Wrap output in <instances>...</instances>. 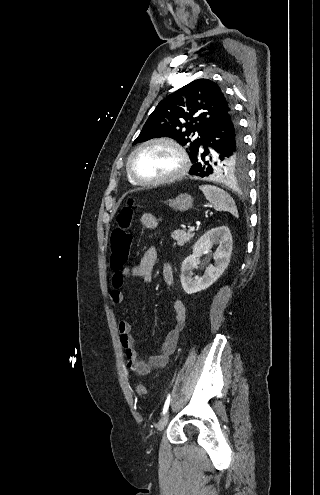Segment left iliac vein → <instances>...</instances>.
<instances>
[{
    "label": "left iliac vein",
    "mask_w": 320,
    "mask_h": 495,
    "mask_svg": "<svg viewBox=\"0 0 320 495\" xmlns=\"http://www.w3.org/2000/svg\"><path fill=\"white\" fill-rule=\"evenodd\" d=\"M168 419H169V413H168V412H166V413L162 416V418L160 419V421H159V424H158V430H159V431H162V430L166 427V425H167V423H168Z\"/></svg>",
    "instance_id": "1"
}]
</instances>
